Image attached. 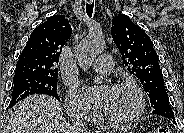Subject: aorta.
<instances>
[{
  "mask_svg": "<svg viewBox=\"0 0 184 133\" xmlns=\"http://www.w3.org/2000/svg\"><path fill=\"white\" fill-rule=\"evenodd\" d=\"M105 41L101 34H90L80 41L75 48V56L79 66L87 71L93 61L104 50ZM94 81L100 83V78L95 77Z\"/></svg>",
  "mask_w": 184,
  "mask_h": 133,
  "instance_id": "1",
  "label": "aorta"
}]
</instances>
